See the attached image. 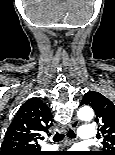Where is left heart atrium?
Listing matches in <instances>:
<instances>
[{
  "instance_id": "1",
  "label": "left heart atrium",
  "mask_w": 115,
  "mask_h": 155,
  "mask_svg": "<svg viewBox=\"0 0 115 155\" xmlns=\"http://www.w3.org/2000/svg\"><path fill=\"white\" fill-rule=\"evenodd\" d=\"M68 155H79V154H68Z\"/></svg>"
}]
</instances>
